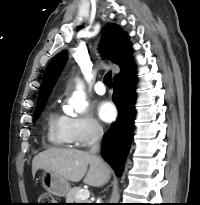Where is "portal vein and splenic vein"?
Wrapping results in <instances>:
<instances>
[{
    "label": "portal vein and splenic vein",
    "instance_id": "obj_1",
    "mask_svg": "<svg viewBox=\"0 0 200 205\" xmlns=\"http://www.w3.org/2000/svg\"><path fill=\"white\" fill-rule=\"evenodd\" d=\"M90 197L89 190L81 189L78 191L76 198L80 200H87Z\"/></svg>",
    "mask_w": 200,
    "mask_h": 205
}]
</instances>
